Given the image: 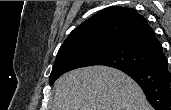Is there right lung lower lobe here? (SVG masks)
<instances>
[{"instance_id":"right-lung-lower-lobe-1","label":"right lung lower lobe","mask_w":171,"mask_h":110,"mask_svg":"<svg viewBox=\"0 0 171 110\" xmlns=\"http://www.w3.org/2000/svg\"><path fill=\"white\" fill-rule=\"evenodd\" d=\"M168 62L161 49L154 61L140 68L120 69L133 78L144 91L155 110H170L171 93Z\"/></svg>"}]
</instances>
